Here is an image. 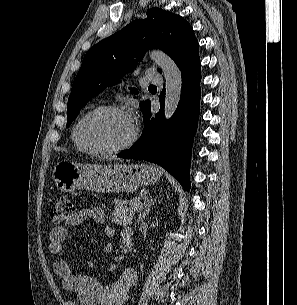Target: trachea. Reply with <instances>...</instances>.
Listing matches in <instances>:
<instances>
[{"label":"trachea","instance_id":"obj_1","mask_svg":"<svg viewBox=\"0 0 297 305\" xmlns=\"http://www.w3.org/2000/svg\"><path fill=\"white\" fill-rule=\"evenodd\" d=\"M150 87H155L154 85H150Z\"/></svg>","mask_w":297,"mask_h":305}]
</instances>
